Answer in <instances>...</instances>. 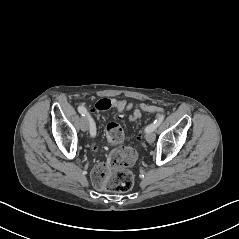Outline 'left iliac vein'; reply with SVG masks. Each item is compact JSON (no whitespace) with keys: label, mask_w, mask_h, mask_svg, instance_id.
<instances>
[{"label":"left iliac vein","mask_w":239,"mask_h":239,"mask_svg":"<svg viewBox=\"0 0 239 239\" xmlns=\"http://www.w3.org/2000/svg\"><path fill=\"white\" fill-rule=\"evenodd\" d=\"M155 138H156V135L153 132H149V133L146 134V140L149 143L154 142Z\"/></svg>","instance_id":"1"}]
</instances>
